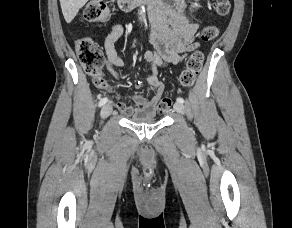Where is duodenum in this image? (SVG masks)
Returning a JSON list of instances; mask_svg holds the SVG:
<instances>
[{"label": "duodenum", "mask_w": 292, "mask_h": 228, "mask_svg": "<svg viewBox=\"0 0 292 228\" xmlns=\"http://www.w3.org/2000/svg\"><path fill=\"white\" fill-rule=\"evenodd\" d=\"M159 1L160 0H118V5L121 10L128 12L144 4L152 7L158 4Z\"/></svg>", "instance_id": "duodenum-1"}]
</instances>
